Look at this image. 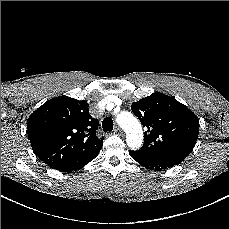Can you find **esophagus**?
<instances>
[{
  "mask_svg": "<svg viewBox=\"0 0 229 229\" xmlns=\"http://www.w3.org/2000/svg\"><path fill=\"white\" fill-rule=\"evenodd\" d=\"M114 133H116L118 135H123L124 134L123 130L120 127H115Z\"/></svg>",
  "mask_w": 229,
  "mask_h": 229,
  "instance_id": "obj_1",
  "label": "esophagus"
}]
</instances>
